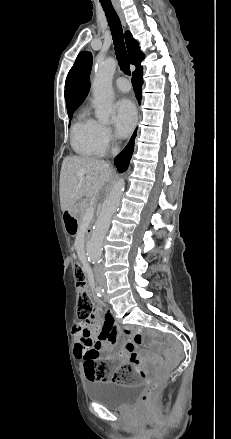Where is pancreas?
<instances>
[{
	"label": "pancreas",
	"instance_id": "cf45deb5",
	"mask_svg": "<svg viewBox=\"0 0 231 439\" xmlns=\"http://www.w3.org/2000/svg\"><path fill=\"white\" fill-rule=\"evenodd\" d=\"M89 200L88 199H84L79 203V209H80V215H79V223L82 224L85 220V216H86V211L87 208L89 207Z\"/></svg>",
	"mask_w": 231,
	"mask_h": 439
}]
</instances>
